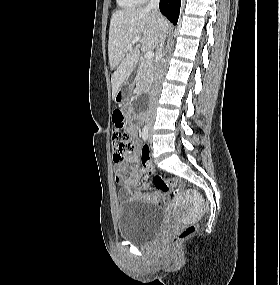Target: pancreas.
Returning a JSON list of instances; mask_svg holds the SVG:
<instances>
[{
    "mask_svg": "<svg viewBox=\"0 0 280 285\" xmlns=\"http://www.w3.org/2000/svg\"><path fill=\"white\" fill-rule=\"evenodd\" d=\"M153 69L154 66L152 63L147 61L141 62L135 79L136 92L138 94L149 91L153 79Z\"/></svg>",
    "mask_w": 280,
    "mask_h": 285,
    "instance_id": "pancreas-1",
    "label": "pancreas"
}]
</instances>
